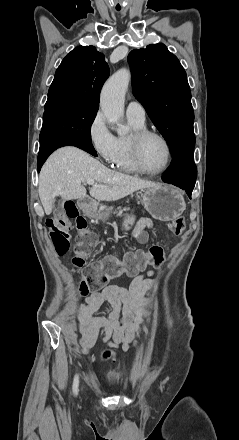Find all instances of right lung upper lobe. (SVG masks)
Segmentation results:
<instances>
[{"label":"right lung upper lobe","instance_id":"right-lung-upper-lobe-1","mask_svg":"<svg viewBox=\"0 0 239 440\" xmlns=\"http://www.w3.org/2000/svg\"><path fill=\"white\" fill-rule=\"evenodd\" d=\"M108 76L109 67L104 55L94 46H78L56 70L46 105L66 103L98 110L100 90Z\"/></svg>","mask_w":239,"mask_h":440}]
</instances>
